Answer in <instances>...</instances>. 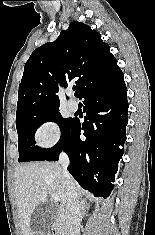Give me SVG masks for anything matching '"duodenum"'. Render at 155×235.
<instances>
[{"label":"duodenum","mask_w":155,"mask_h":235,"mask_svg":"<svg viewBox=\"0 0 155 235\" xmlns=\"http://www.w3.org/2000/svg\"><path fill=\"white\" fill-rule=\"evenodd\" d=\"M62 233V225L61 224H57L53 230V234L52 235H61Z\"/></svg>","instance_id":"1"}]
</instances>
